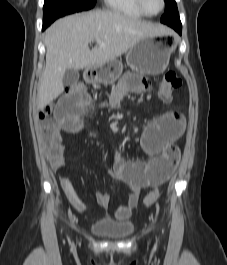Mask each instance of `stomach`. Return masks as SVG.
Listing matches in <instances>:
<instances>
[{
  "instance_id": "obj_1",
  "label": "stomach",
  "mask_w": 227,
  "mask_h": 265,
  "mask_svg": "<svg viewBox=\"0 0 227 265\" xmlns=\"http://www.w3.org/2000/svg\"><path fill=\"white\" fill-rule=\"evenodd\" d=\"M174 45L158 37H145L131 47L126 54L127 65L143 75H158L169 65ZM123 65L112 60L99 66L86 69L85 79L90 83L110 85L121 76Z\"/></svg>"
}]
</instances>
